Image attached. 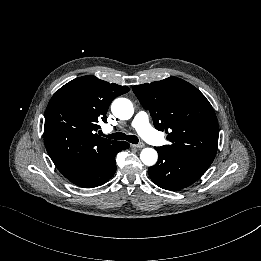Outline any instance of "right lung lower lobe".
<instances>
[{
	"label": "right lung lower lobe",
	"instance_id": "98d812e1",
	"mask_svg": "<svg viewBox=\"0 0 261 261\" xmlns=\"http://www.w3.org/2000/svg\"><path fill=\"white\" fill-rule=\"evenodd\" d=\"M129 148L123 142L118 148L103 154L98 160L69 175H65L72 183L83 188H93L106 183L116 171L115 156L118 152Z\"/></svg>",
	"mask_w": 261,
	"mask_h": 261
}]
</instances>
